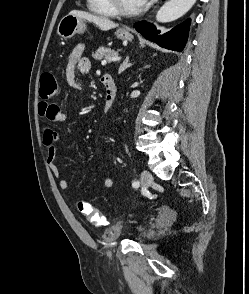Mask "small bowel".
<instances>
[{"mask_svg":"<svg viewBox=\"0 0 249 294\" xmlns=\"http://www.w3.org/2000/svg\"><path fill=\"white\" fill-rule=\"evenodd\" d=\"M84 45H76L70 52L66 68V80L74 88H80L79 83L76 80L77 72L81 74H88L91 70V62L87 57L83 56ZM39 115L46 121L47 125L44 130L43 143L47 148V159L52 174L56 178L59 187L62 190L69 188V183L64 177L63 172L56 164V158L58 155L57 143L60 140V135L52 128L53 124H58L66 121L70 116V111L62 109L57 104L40 102L38 107ZM113 180L109 176H105L103 179V186L105 188H111ZM173 216L172 211L163 210L162 219L169 220Z\"/></svg>","mask_w":249,"mask_h":294,"instance_id":"1","label":"small bowel"}]
</instances>
